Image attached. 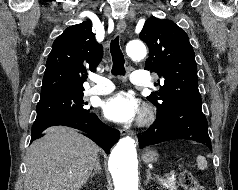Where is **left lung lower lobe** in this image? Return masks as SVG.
I'll use <instances>...</instances> for the list:
<instances>
[{"mask_svg": "<svg viewBox=\"0 0 238 190\" xmlns=\"http://www.w3.org/2000/svg\"><path fill=\"white\" fill-rule=\"evenodd\" d=\"M207 127L202 105L172 106L157 111L155 122L145 132L138 134L139 146L144 148L174 139H188L211 146Z\"/></svg>", "mask_w": 238, "mask_h": 190, "instance_id": "obj_1", "label": "left lung lower lobe"}]
</instances>
